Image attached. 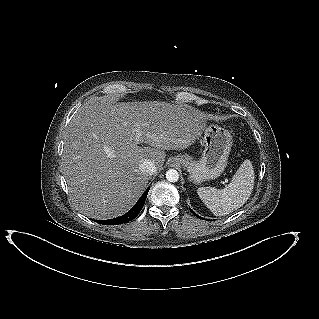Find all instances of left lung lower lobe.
Instances as JSON below:
<instances>
[{
    "mask_svg": "<svg viewBox=\"0 0 319 319\" xmlns=\"http://www.w3.org/2000/svg\"><path fill=\"white\" fill-rule=\"evenodd\" d=\"M190 211L195 215V213L190 209ZM199 218H201V217H199Z\"/></svg>",
    "mask_w": 319,
    "mask_h": 319,
    "instance_id": "1",
    "label": "left lung lower lobe"
}]
</instances>
